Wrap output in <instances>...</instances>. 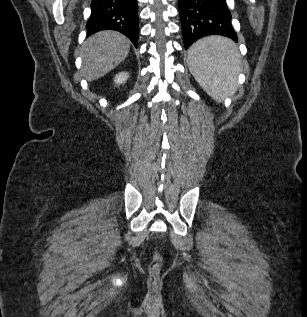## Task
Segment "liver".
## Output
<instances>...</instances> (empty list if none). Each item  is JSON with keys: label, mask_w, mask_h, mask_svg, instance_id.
<instances>
[{"label": "liver", "mask_w": 307, "mask_h": 317, "mask_svg": "<svg viewBox=\"0 0 307 317\" xmlns=\"http://www.w3.org/2000/svg\"><path fill=\"white\" fill-rule=\"evenodd\" d=\"M130 40L116 31H100L82 47V73L88 81L97 80L126 59Z\"/></svg>", "instance_id": "liver-1"}]
</instances>
